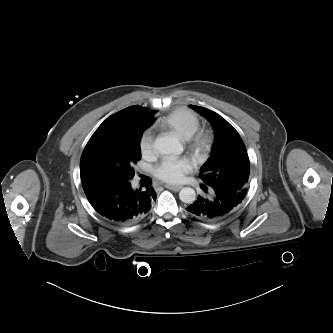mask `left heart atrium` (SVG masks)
<instances>
[{"label": "left heart atrium", "instance_id": "left-heart-atrium-1", "mask_svg": "<svg viewBox=\"0 0 333 333\" xmlns=\"http://www.w3.org/2000/svg\"><path fill=\"white\" fill-rule=\"evenodd\" d=\"M191 170L190 162L185 158H165L154 169L155 176L166 183L181 182Z\"/></svg>", "mask_w": 333, "mask_h": 333}]
</instances>
